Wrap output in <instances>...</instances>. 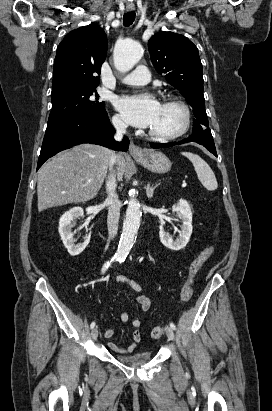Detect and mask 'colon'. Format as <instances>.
Returning <instances> with one entry per match:
<instances>
[{
	"instance_id": "1",
	"label": "colon",
	"mask_w": 272,
	"mask_h": 411,
	"mask_svg": "<svg viewBox=\"0 0 272 411\" xmlns=\"http://www.w3.org/2000/svg\"><path fill=\"white\" fill-rule=\"evenodd\" d=\"M212 249L202 251L189 265L188 276L182 287L180 299L182 302H187L193 294V282L196 274L201 267L212 257ZM164 333V328L157 326L151 330V337L154 339L160 338Z\"/></svg>"
}]
</instances>
